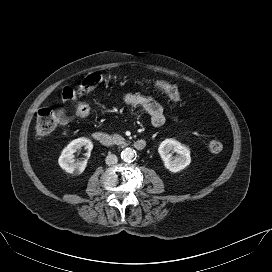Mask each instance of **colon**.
Instances as JSON below:
<instances>
[{"mask_svg":"<svg viewBox=\"0 0 272 272\" xmlns=\"http://www.w3.org/2000/svg\"><path fill=\"white\" fill-rule=\"evenodd\" d=\"M99 74H91L87 76L79 85L78 91L71 87H66L62 91V107L57 109L41 108L36 115L35 134L37 137H44L52 133L59 126L68 123L70 116L84 118L90 114V106L81 100L78 92L84 95L93 93L101 83ZM154 85L164 91L172 100L179 101L181 93L179 89L166 81L156 80ZM224 145L222 141L213 139L209 143V149L212 153H220L223 151Z\"/></svg>","mask_w":272,"mask_h":272,"instance_id":"colon-1","label":"colon"}]
</instances>
